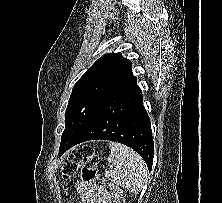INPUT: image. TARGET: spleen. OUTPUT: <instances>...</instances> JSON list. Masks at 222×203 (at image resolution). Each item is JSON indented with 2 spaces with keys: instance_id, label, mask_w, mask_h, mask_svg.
Returning <instances> with one entry per match:
<instances>
[{
  "instance_id": "1",
  "label": "spleen",
  "mask_w": 222,
  "mask_h": 203,
  "mask_svg": "<svg viewBox=\"0 0 222 203\" xmlns=\"http://www.w3.org/2000/svg\"><path fill=\"white\" fill-rule=\"evenodd\" d=\"M109 148L111 154L107 159L114 168L108 170L105 176L111 177L113 182L132 193L140 191L148 178L147 165L144 160L134 150L123 144L110 142Z\"/></svg>"
}]
</instances>
